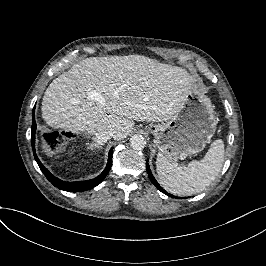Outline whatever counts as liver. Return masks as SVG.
<instances>
[{"label":"liver","mask_w":266,"mask_h":266,"mask_svg":"<svg viewBox=\"0 0 266 266\" xmlns=\"http://www.w3.org/2000/svg\"><path fill=\"white\" fill-rule=\"evenodd\" d=\"M186 71L144 56L85 59L47 87L41 115L48 126L73 132L108 130L125 139L133 121H167L194 92ZM96 91L101 102L91 100Z\"/></svg>","instance_id":"obj_1"}]
</instances>
